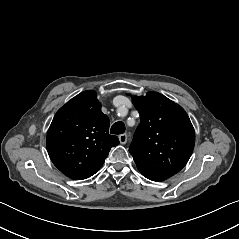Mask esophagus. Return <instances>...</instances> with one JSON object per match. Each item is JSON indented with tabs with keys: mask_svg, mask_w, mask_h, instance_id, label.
<instances>
[{
	"mask_svg": "<svg viewBox=\"0 0 239 239\" xmlns=\"http://www.w3.org/2000/svg\"><path fill=\"white\" fill-rule=\"evenodd\" d=\"M119 141H120L121 144H126V142H127V135L126 134L119 135Z\"/></svg>",
	"mask_w": 239,
	"mask_h": 239,
	"instance_id": "34e87169",
	"label": "esophagus"
}]
</instances>
